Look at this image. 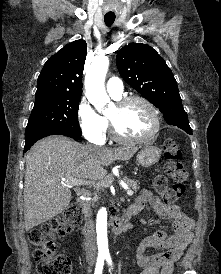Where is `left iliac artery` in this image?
<instances>
[{
  "mask_svg": "<svg viewBox=\"0 0 221 274\" xmlns=\"http://www.w3.org/2000/svg\"><path fill=\"white\" fill-rule=\"evenodd\" d=\"M105 259H106L107 263L112 267V260H111L110 255H106Z\"/></svg>",
  "mask_w": 221,
  "mask_h": 274,
  "instance_id": "44dca946",
  "label": "left iliac artery"
}]
</instances>
